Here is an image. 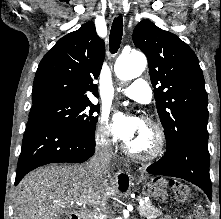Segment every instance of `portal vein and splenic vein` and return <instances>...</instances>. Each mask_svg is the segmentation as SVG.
Segmentation results:
<instances>
[{
  "label": "portal vein and splenic vein",
  "mask_w": 221,
  "mask_h": 219,
  "mask_svg": "<svg viewBox=\"0 0 221 219\" xmlns=\"http://www.w3.org/2000/svg\"><path fill=\"white\" fill-rule=\"evenodd\" d=\"M76 205L81 206V205H85L86 201L85 200H78L74 202ZM140 205H143V202H140ZM138 210H140V206L138 207Z\"/></svg>",
  "instance_id": "obj_1"
}]
</instances>
